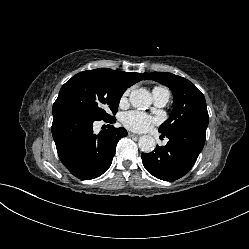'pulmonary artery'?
I'll list each match as a JSON object with an SVG mask.
<instances>
[{"instance_id": "obj_1", "label": "pulmonary artery", "mask_w": 249, "mask_h": 249, "mask_svg": "<svg viewBox=\"0 0 249 249\" xmlns=\"http://www.w3.org/2000/svg\"><path fill=\"white\" fill-rule=\"evenodd\" d=\"M152 94L157 107H164L170 101V92L165 88H154Z\"/></svg>"}]
</instances>
